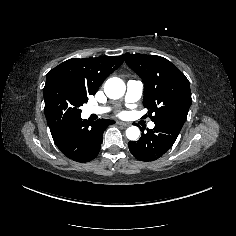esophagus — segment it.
I'll list each match as a JSON object with an SVG mask.
<instances>
[{
	"label": "esophagus",
	"instance_id": "1",
	"mask_svg": "<svg viewBox=\"0 0 236 236\" xmlns=\"http://www.w3.org/2000/svg\"><path fill=\"white\" fill-rule=\"evenodd\" d=\"M116 124H118V125H122V126H125V127L131 125V123H129V122H122V121H117Z\"/></svg>",
	"mask_w": 236,
	"mask_h": 236
}]
</instances>
